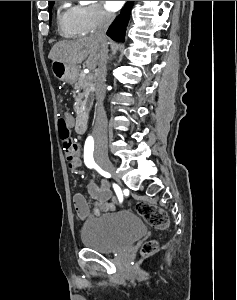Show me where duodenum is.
<instances>
[{
    "label": "duodenum",
    "mask_w": 237,
    "mask_h": 300,
    "mask_svg": "<svg viewBox=\"0 0 237 300\" xmlns=\"http://www.w3.org/2000/svg\"><path fill=\"white\" fill-rule=\"evenodd\" d=\"M88 120L84 114H80L77 117L75 129L78 134H84L87 131Z\"/></svg>",
    "instance_id": "1"
}]
</instances>
